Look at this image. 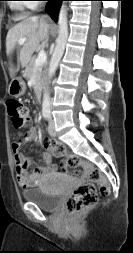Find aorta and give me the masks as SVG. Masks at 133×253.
<instances>
[{"mask_svg":"<svg viewBox=\"0 0 133 253\" xmlns=\"http://www.w3.org/2000/svg\"><path fill=\"white\" fill-rule=\"evenodd\" d=\"M58 38L56 40V46L52 54L49 68H48V80H50L56 72L58 64L63 56L65 45L68 38V24H67V6L65 2L62 3L59 16H58ZM50 95L48 89L45 90L42 102V111L43 113H50Z\"/></svg>","mask_w":133,"mask_h":253,"instance_id":"762f6f07","label":"aorta"}]
</instances>
